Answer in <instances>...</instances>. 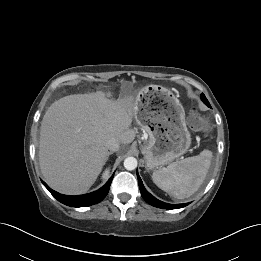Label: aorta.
Wrapping results in <instances>:
<instances>
[{
	"label": "aorta",
	"mask_w": 261,
	"mask_h": 261,
	"mask_svg": "<svg viewBox=\"0 0 261 261\" xmlns=\"http://www.w3.org/2000/svg\"><path fill=\"white\" fill-rule=\"evenodd\" d=\"M124 167L127 170H134L137 167V159L135 157H127L124 160Z\"/></svg>",
	"instance_id": "1"
}]
</instances>
